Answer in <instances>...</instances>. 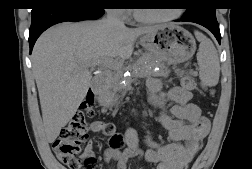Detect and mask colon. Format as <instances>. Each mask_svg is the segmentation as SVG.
<instances>
[{
    "label": "colon",
    "mask_w": 252,
    "mask_h": 169,
    "mask_svg": "<svg viewBox=\"0 0 252 169\" xmlns=\"http://www.w3.org/2000/svg\"><path fill=\"white\" fill-rule=\"evenodd\" d=\"M181 85L186 90L198 88L191 74L182 77ZM95 99L93 92H89L81 104L79 111L70 122L62 129L58 138L53 143V150L60 162L69 169H92L94 159L82 153V145L88 137V125L85 117L94 114ZM102 134L109 138L112 147H120L122 137L116 132L114 124L107 123L103 126Z\"/></svg>",
    "instance_id": "colon-1"
}]
</instances>
